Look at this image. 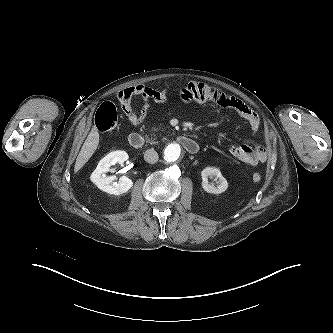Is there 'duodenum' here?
Segmentation results:
<instances>
[{
    "instance_id": "duodenum-1",
    "label": "duodenum",
    "mask_w": 333,
    "mask_h": 333,
    "mask_svg": "<svg viewBox=\"0 0 333 333\" xmlns=\"http://www.w3.org/2000/svg\"><path fill=\"white\" fill-rule=\"evenodd\" d=\"M177 140L188 153L195 154L199 151V145L194 139L185 135H179ZM128 142L133 148L139 149L144 146L145 140L142 135L131 133L128 137Z\"/></svg>"
}]
</instances>
